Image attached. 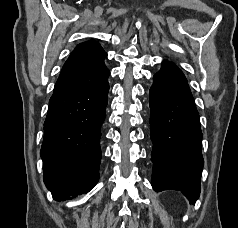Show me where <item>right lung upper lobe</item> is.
Returning <instances> with one entry per match:
<instances>
[{
  "instance_id": "1",
  "label": "right lung upper lobe",
  "mask_w": 238,
  "mask_h": 228,
  "mask_svg": "<svg viewBox=\"0 0 238 228\" xmlns=\"http://www.w3.org/2000/svg\"><path fill=\"white\" fill-rule=\"evenodd\" d=\"M106 56L107 53L94 40L77 45L65 62L54 91L89 84L98 80L107 69L104 64Z\"/></svg>"
}]
</instances>
